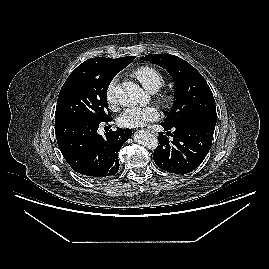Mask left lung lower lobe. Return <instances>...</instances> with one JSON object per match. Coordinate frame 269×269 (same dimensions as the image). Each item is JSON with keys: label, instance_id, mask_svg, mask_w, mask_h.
Returning <instances> with one entry per match:
<instances>
[{"label": "left lung lower lobe", "instance_id": "1", "mask_svg": "<svg viewBox=\"0 0 269 269\" xmlns=\"http://www.w3.org/2000/svg\"><path fill=\"white\" fill-rule=\"evenodd\" d=\"M167 135L173 130V140L159 133V146L153 158L156 165L164 171L187 174L196 169L211 148L216 119L206 117L191 120L175 127L161 124Z\"/></svg>", "mask_w": 269, "mask_h": 269}]
</instances>
